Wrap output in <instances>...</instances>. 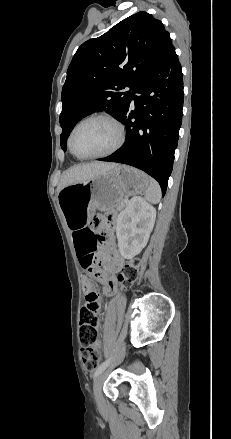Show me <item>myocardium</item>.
Instances as JSON below:
<instances>
[{
	"label": "myocardium",
	"instance_id": "myocardium-1",
	"mask_svg": "<svg viewBox=\"0 0 231 439\" xmlns=\"http://www.w3.org/2000/svg\"><path fill=\"white\" fill-rule=\"evenodd\" d=\"M92 119H104L107 120L108 122H110L116 129L117 131V139L116 142L114 143V145L109 148L108 150L101 152V153H97V154H91V155H79L75 152L74 148H73V137L74 134L76 132V130L85 122L92 120ZM125 141V129L123 124L112 114L107 113V112H96V113H92L84 118H82L80 121H78L75 126L72 128L70 135H69V139H68V146L69 149L71 151V153L77 157L78 159H98V158H104L107 156L112 155L113 153H115L116 151H118L123 143Z\"/></svg>",
	"mask_w": 231,
	"mask_h": 439
}]
</instances>
